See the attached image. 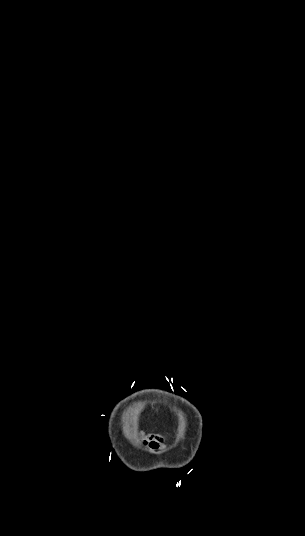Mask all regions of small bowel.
Segmentation results:
<instances>
[{"mask_svg":"<svg viewBox=\"0 0 305 536\" xmlns=\"http://www.w3.org/2000/svg\"><path fill=\"white\" fill-rule=\"evenodd\" d=\"M140 441L150 449H158L163 445V437L158 434H151L145 431L140 432Z\"/></svg>","mask_w":305,"mask_h":536,"instance_id":"c3829d8e","label":"small bowel"}]
</instances>
